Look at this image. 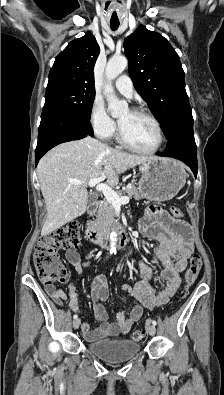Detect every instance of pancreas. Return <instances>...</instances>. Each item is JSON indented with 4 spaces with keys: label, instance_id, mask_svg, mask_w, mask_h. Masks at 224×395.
I'll use <instances>...</instances> for the list:
<instances>
[{
    "label": "pancreas",
    "instance_id": "1",
    "mask_svg": "<svg viewBox=\"0 0 224 395\" xmlns=\"http://www.w3.org/2000/svg\"><path fill=\"white\" fill-rule=\"evenodd\" d=\"M116 193L119 196L127 194L129 198H134L135 200H140L142 198L141 194L138 192V189L135 187L134 184L126 189L119 190ZM94 212L96 213V215L95 220L92 224V228L100 229L103 226H110L115 223L114 206L111 205L106 199L98 203Z\"/></svg>",
    "mask_w": 224,
    "mask_h": 395
}]
</instances>
